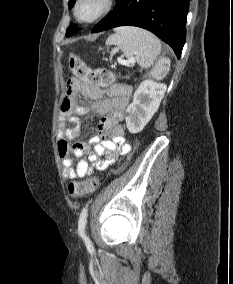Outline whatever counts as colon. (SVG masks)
<instances>
[{"mask_svg": "<svg viewBox=\"0 0 233 284\" xmlns=\"http://www.w3.org/2000/svg\"><path fill=\"white\" fill-rule=\"evenodd\" d=\"M69 65L73 74L80 80L93 85L108 86L112 84L116 76L105 68L92 69L80 57L71 54ZM171 68V61L168 57L160 58L154 67V78L162 80L166 77ZM99 186L96 177H88L82 181L72 182L68 185V193L71 196H82L94 192Z\"/></svg>", "mask_w": 233, "mask_h": 284, "instance_id": "5ec220e1", "label": "colon"}]
</instances>
